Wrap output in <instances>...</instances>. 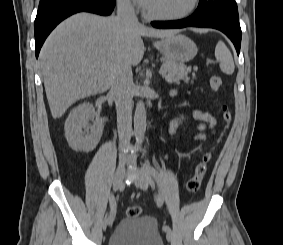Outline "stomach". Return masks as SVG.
I'll return each instance as SVG.
<instances>
[{
  "label": "stomach",
  "mask_w": 283,
  "mask_h": 245,
  "mask_svg": "<svg viewBox=\"0 0 283 245\" xmlns=\"http://www.w3.org/2000/svg\"><path fill=\"white\" fill-rule=\"evenodd\" d=\"M154 46L170 59L184 63L192 60L197 54L196 44L185 35H172L157 41Z\"/></svg>",
  "instance_id": "stomach-1"
}]
</instances>
